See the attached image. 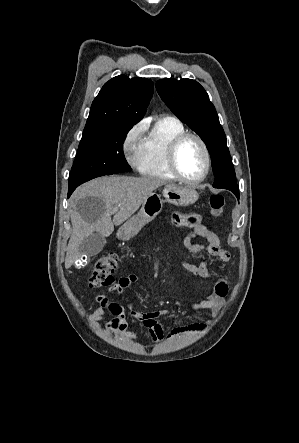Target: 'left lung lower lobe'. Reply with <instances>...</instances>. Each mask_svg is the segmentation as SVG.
<instances>
[{
  "instance_id": "0a47b994",
  "label": "left lung lower lobe",
  "mask_w": 299,
  "mask_h": 443,
  "mask_svg": "<svg viewBox=\"0 0 299 443\" xmlns=\"http://www.w3.org/2000/svg\"><path fill=\"white\" fill-rule=\"evenodd\" d=\"M228 190L232 191L235 194V196L237 197V199H239V190H236V189H228Z\"/></svg>"
}]
</instances>
